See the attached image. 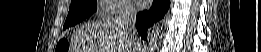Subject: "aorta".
Here are the masks:
<instances>
[{
	"instance_id": "obj_1",
	"label": "aorta",
	"mask_w": 261,
	"mask_h": 52,
	"mask_svg": "<svg viewBox=\"0 0 261 52\" xmlns=\"http://www.w3.org/2000/svg\"><path fill=\"white\" fill-rule=\"evenodd\" d=\"M159 29H153L152 32L149 34V41L150 44H156L157 38L159 36Z\"/></svg>"
}]
</instances>
